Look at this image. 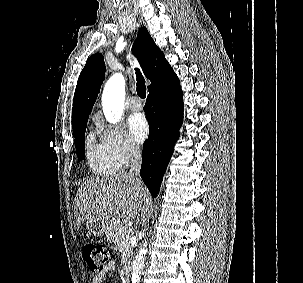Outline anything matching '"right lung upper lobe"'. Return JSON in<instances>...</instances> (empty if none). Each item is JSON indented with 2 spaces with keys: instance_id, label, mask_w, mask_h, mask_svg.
<instances>
[{
  "instance_id": "cb5924a9",
  "label": "right lung upper lobe",
  "mask_w": 303,
  "mask_h": 283,
  "mask_svg": "<svg viewBox=\"0 0 303 283\" xmlns=\"http://www.w3.org/2000/svg\"><path fill=\"white\" fill-rule=\"evenodd\" d=\"M133 52L138 58L145 76L151 81L148 86L149 92L176 77L172 67L165 59L164 53L157 47L145 27L139 29ZM104 77L103 56L100 53L90 56L77 82L72 108V127L88 120Z\"/></svg>"
}]
</instances>
